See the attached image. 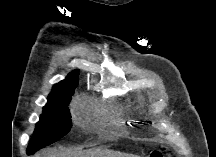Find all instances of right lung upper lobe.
I'll return each instance as SVG.
<instances>
[{
    "mask_svg": "<svg viewBox=\"0 0 216 157\" xmlns=\"http://www.w3.org/2000/svg\"><path fill=\"white\" fill-rule=\"evenodd\" d=\"M78 76H79L78 70H74L71 73H69L66 79L60 81L59 83L53 86L52 91L48 96V99L57 97L63 93L72 92V91L74 92V89L78 84V80H79Z\"/></svg>",
    "mask_w": 216,
    "mask_h": 157,
    "instance_id": "right-lung-upper-lobe-1",
    "label": "right lung upper lobe"
}]
</instances>
